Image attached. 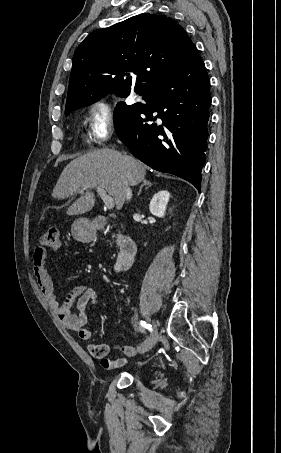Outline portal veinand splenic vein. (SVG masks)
I'll list each match as a JSON object with an SVG mask.
<instances>
[{"instance_id": "portal-vein-and-splenic-vein-1", "label": "portal vein and splenic vein", "mask_w": 281, "mask_h": 453, "mask_svg": "<svg viewBox=\"0 0 281 453\" xmlns=\"http://www.w3.org/2000/svg\"><path fill=\"white\" fill-rule=\"evenodd\" d=\"M98 194H100L103 202H104V206H106V208H114L115 204H114V200L112 198V196H109V194H107L106 190H104V188H101V186H97L96 188Z\"/></svg>"}]
</instances>
